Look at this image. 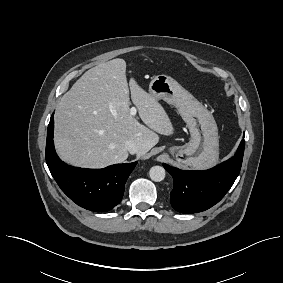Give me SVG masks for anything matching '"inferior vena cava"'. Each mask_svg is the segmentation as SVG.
I'll return each instance as SVG.
<instances>
[{
  "instance_id": "1",
  "label": "inferior vena cava",
  "mask_w": 283,
  "mask_h": 283,
  "mask_svg": "<svg viewBox=\"0 0 283 283\" xmlns=\"http://www.w3.org/2000/svg\"><path fill=\"white\" fill-rule=\"evenodd\" d=\"M125 148L130 154H136L139 152V145L132 140L126 142Z\"/></svg>"
}]
</instances>
